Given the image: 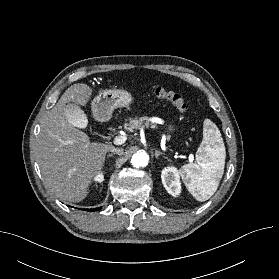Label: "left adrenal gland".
Wrapping results in <instances>:
<instances>
[{
    "instance_id": "obj_1",
    "label": "left adrenal gland",
    "mask_w": 279,
    "mask_h": 279,
    "mask_svg": "<svg viewBox=\"0 0 279 279\" xmlns=\"http://www.w3.org/2000/svg\"><path fill=\"white\" fill-rule=\"evenodd\" d=\"M160 155H164V154L158 150H155V158L158 159Z\"/></svg>"
}]
</instances>
